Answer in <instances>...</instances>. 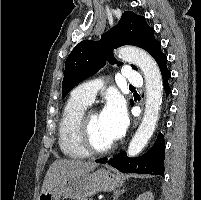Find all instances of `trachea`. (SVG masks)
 <instances>
[{"instance_id": "obj_1", "label": "trachea", "mask_w": 201, "mask_h": 200, "mask_svg": "<svg viewBox=\"0 0 201 200\" xmlns=\"http://www.w3.org/2000/svg\"><path fill=\"white\" fill-rule=\"evenodd\" d=\"M129 87H130V88H133V89H135V87H134V86H131V85H130Z\"/></svg>"}]
</instances>
